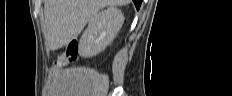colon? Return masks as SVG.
Returning a JSON list of instances; mask_svg holds the SVG:
<instances>
[{
    "label": "colon",
    "instance_id": "1",
    "mask_svg": "<svg viewBox=\"0 0 232 96\" xmlns=\"http://www.w3.org/2000/svg\"><path fill=\"white\" fill-rule=\"evenodd\" d=\"M78 58V44L75 41L70 42L65 50L58 55L56 65L63 66L76 61Z\"/></svg>",
    "mask_w": 232,
    "mask_h": 96
}]
</instances>
